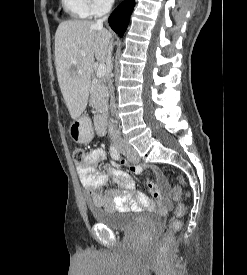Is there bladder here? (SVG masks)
Returning a JSON list of instances; mask_svg holds the SVG:
<instances>
[{"instance_id":"obj_1","label":"bladder","mask_w":247,"mask_h":275,"mask_svg":"<svg viewBox=\"0 0 247 275\" xmlns=\"http://www.w3.org/2000/svg\"><path fill=\"white\" fill-rule=\"evenodd\" d=\"M90 213L97 224L104 225L113 231L128 232L137 225L153 226L162 221L158 214L145 212L136 219L131 212H111L104 208L90 205Z\"/></svg>"}]
</instances>
